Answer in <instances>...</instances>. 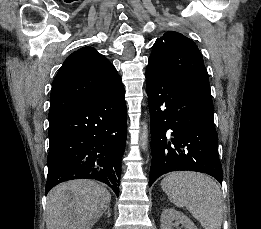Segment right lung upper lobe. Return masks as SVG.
Returning <instances> with one entry per match:
<instances>
[{
	"label": "right lung upper lobe",
	"instance_id": "1",
	"mask_svg": "<svg viewBox=\"0 0 261 229\" xmlns=\"http://www.w3.org/2000/svg\"><path fill=\"white\" fill-rule=\"evenodd\" d=\"M120 79L115 67L92 47L72 53L57 73L50 96L49 123L101 94Z\"/></svg>",
	"mask_w": 261,
	"mask_h": 229
}]
</instances>
